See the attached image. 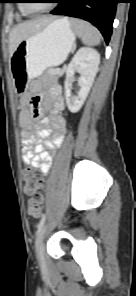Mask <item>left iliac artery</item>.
Listing matches in <instances>:
<instances>
[{
	"instance_id": "left-iliac-artery-1",
	"label": "left iliac artery",
	"mask_w": 136,
	"mask_h": 296,
	"mask_svg": "<svg viewBox=\"0 0 136 296\" xmlns=\"http://www.w3.org/2000/svg\"><path fill=\"white\" fill-rule=\"evenodd\" d=\"M45 215H43L42 216V218H41V220H40V222H39V224H38V226H37V232H36V246H37V243H38V235H39V233H40V231H41V229H42V227H43V225H44V222H45Z\"/></svg>"
}]
</instances>
